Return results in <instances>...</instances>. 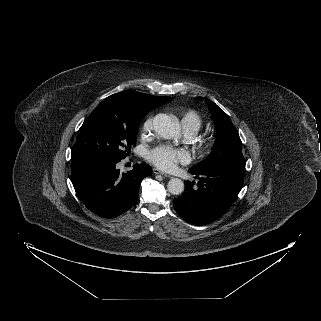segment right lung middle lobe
Listing matches in <instances>:
<instances>
[{
  "label": "right lung middle lobe",
  "instance_id": "1",
  "mask_svg": "<svg viewBox=\"0 0 321 321\" xmlns=\"http://www.w3.org/2000/svg\"><path fill=\"white\" fill-rule=\"evenodd\" d=\"M148 112L125 98L107 97L80 127L71 161L92 158L119 162L124 159L136 142L139 124Z\"/></svg>",
  "mask_w": 321,
  "mask_h": 321
}]
</instances>
